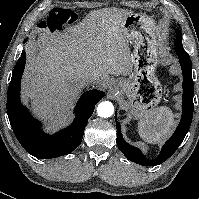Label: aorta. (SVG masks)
<instances>
[{"mask_svg": "<svg viewBox=\"0 0 199 199\" xmlns=\"http://www.w3.org/2000/svg\"><path fill=\"white\" fill-rule=\"evenodd\" d=\"M97 113L102 118L111 117L114 113V106L109 101L101 102L97 107Z\"/></svg>", "mask_w": 199, "mask_h": 199, "instance_id": "1", "label": "aorta"}]
</instances>
